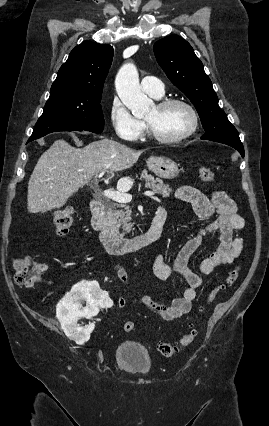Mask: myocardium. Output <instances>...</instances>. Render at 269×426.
Instances as JSON below:
<instances>
[{"mask_svg":"<svg viewBox=\"0 0 269 426\" xmlns=\"http://www.w3.org/2000/svg\"><path fill=\"white\" fill-rule=\"evenodd\" d=\"M172 105H182L188 109V111L190 112L192 116V125L190 129L187 130L185 133L176 137H164L161 134H159L157 130L148 121H145L148 135L152 140L162 144H176L188 139L189 137L194 135L196 131L198 130V127H199L198 113L196 109L188 101L180 99V98H166V99L160 100L156 104V106L161 110L166 109Z\"/></svg>","mask_w":269,"mask_h":426,"instance_id":"obj_1","label":"myocardium"}]
</instances>
